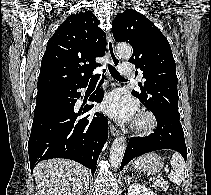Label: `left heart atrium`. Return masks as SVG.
Listing matches in <instances>:
<instances>
[{"label": "left heart atrium", "mask_w": 211, "mask_h": 195, "mask_svg": "<svg viewBox=\"0 0 211 195\" xmlns=\"http://www.w3.org/2000/svg\"><path fill=\"white\" fill-rule=\"evenodd\" d=\"M102 108L107 114L118 121L127 122L134 118L137 105L131 98L115 91L105 98Z\"/></svg>", "instance_id": "1"}]
</instances>
